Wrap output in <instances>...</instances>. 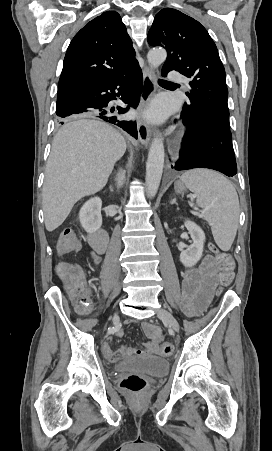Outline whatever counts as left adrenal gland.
Segmentation results:
<instances>
[{
	"label": "left adrenal gland",
	"instance_id": "1",
	"mask_svg": "<svg viewBox=\"0 0 272 451\" xmlns=\"http://www.w3.org/2000/svg\"><path fill=\"white\" fill-rule=\"evenodd\" d=\"M170 204H177L176 198H173V200H171Z\"/></svg>",
	"mask_w": 272,
	"mask_h": 451
}]
</instances>
